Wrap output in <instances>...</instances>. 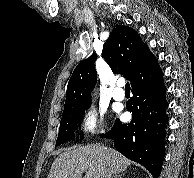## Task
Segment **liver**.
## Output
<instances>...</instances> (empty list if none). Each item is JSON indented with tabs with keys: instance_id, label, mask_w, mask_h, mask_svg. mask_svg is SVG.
Listing matches in <instances>:
<instances>
[{
	"instance_id": "1",
	"label": "liver",
	"mask_w": 194,
	"mask_h": 178,
	"mask_svg": "<svg viewBox=\"0 0 194 178\" xmlns=\"http://www.w3.org/2000/svg\"><path fill=\"white\" fill-rule=\"evenodd\" d=\"M131 162L114 149L91 144L61 153L47 178H103L108 167L113 174L124 172Z\"/></svg>"
}]
</instances>
